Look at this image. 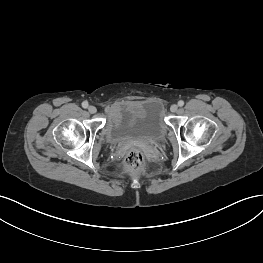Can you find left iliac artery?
I'll return each instance as SVG.
<instances>
[{"label":"left iliac artery","mask_w":263,"mask_h":263,"mask_svg":"<svg viewBox=\"0 0 263 263\" xmlns=\"http://www.w3.org/2000/svg\"><path fill=\"white\" fill-rule=\"evenodd\" d=\"M178 105H179L180 107H182V106L184 105V101H183V100H180V101L178 102Z\"/></svg>","instance_id":"left-iliac-artery-1"}]
</instances>
